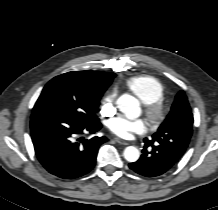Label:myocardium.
Masks as SVG:
<instances>
[{
    "mask_svg": "<svg viewBox=\"0 0 218 210\" xmlns=\"http://www.w3.org/2000/svg\"><path fill=\"white\" fill-rule=\"evenodd\" d=\"M145 115L154 124H160L166 117L167 108L160 100L145 104Z\"/></svg>",
    "mask_w": 218,
    "mask_h": 210,
    "instance_id": "obj_1",
    "label": "myocardium"
}]
</instances>
